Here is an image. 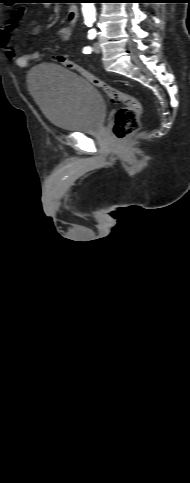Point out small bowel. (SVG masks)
<instances>
[{"label": "small bowel", "mask_w": 190, "mask_h": 483, "mask_svg": "<svg viewBox=\"0 0 190 483\" xmlns=\"http://www.w3.org/2000/svg\"><path fill=\"white\" fill-rule=\"evenodd\" d=\"M27 9V6H21L13 10L5 24L0 28V48L4 51L6 57L13 60L19 68H26L30 60L38 57L37 53L18 55L15 48L10 43L19 19L24 15ZM71 34V26H62L55 32L54 36L58 40L67 41L71 37Z\"/></svg>", "instance_id": "obj_1"}]
</instances>
